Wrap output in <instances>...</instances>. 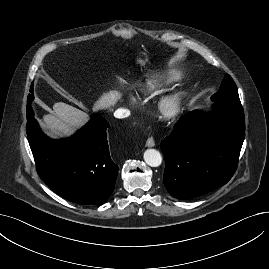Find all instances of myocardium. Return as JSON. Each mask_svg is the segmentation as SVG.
<instances>
[{"instance_id":"myocardium-1","label":"myocardium","mask_w":269,"mask_h":269,"mask_svg":"<svg viewBox=\"0 0 269 269\" xmlns=\"http://www.w3.org/2000/svg\"><path fill=\"white\" fill-rule=\"evenodd\" d=\"M158 116L164 121H173L182 111V100L177 95L164 96L156 103Z\"/></svg>"}]
</instances>
